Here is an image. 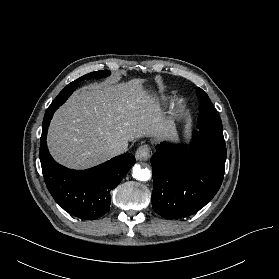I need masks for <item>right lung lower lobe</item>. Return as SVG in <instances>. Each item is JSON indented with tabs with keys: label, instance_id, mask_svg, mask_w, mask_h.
<instances>
[{
	"label": "right lung lower lobe",
	"instance_id": "98d812e1",
	"mask_svg": "<svg viewBox=\"0 0 279 279\" xmlns=\"http://www.w3.org/2000/svg\"><path fill=\"white\" fill-rule=\"evenodd\" d=\"M59 106L48 107V122L42 124L39 157L46 186L54 200L71 215L86 220L97 219L109 211L111 191L135 164V157L125 153L83 171L59 165L46 145L47 128Z\"/></svg>",
	"mask_w": 279,
	"mask_h": 279
}]
</instances>
